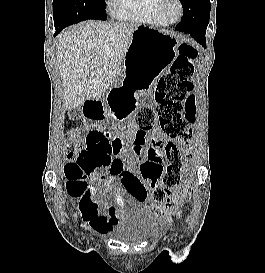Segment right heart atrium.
<instances>
[{
	"label": "right heart atrium",
	"instance_id": "1",
	"mask_svg": "<svg viewBox=\"0 0 265 273\" xmlns=\"http://www.w3.org/2000/svg\"><path fill=\"white\" fill-rule=\"evenodd\" d=\"M119 1L120 0H108L107 1L108 7L112 10L116 9L119 5Z\"/></svg>",
	"mask_w": 265,
	"mask_h": 273
}]
</instances>
